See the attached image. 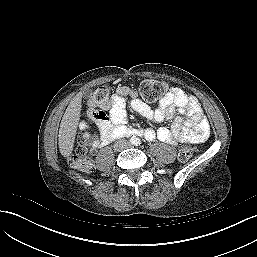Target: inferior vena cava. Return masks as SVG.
<instances>
[{"instance_id": "1", "label": "inferior vena cava", "mask_w": 257, "mask_h": 257, "mask_svg": "<svg viewBox=\"0 0 257 257\" xmlns=\"http://www.w3.org/2000/svg\"><path fill=\"white\" fill-rule=\"evenodd\" d=\"M128 145H129V142L127 140L120 139V140L115 142L114 148L117 149V150H121L123 148L128 147Z\"/></svg>"}]
</instances>
